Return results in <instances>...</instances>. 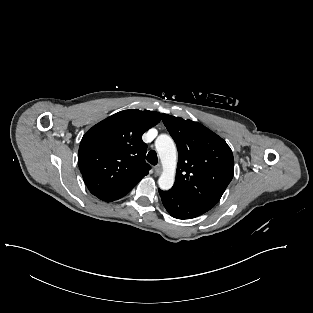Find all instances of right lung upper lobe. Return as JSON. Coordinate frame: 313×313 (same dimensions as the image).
<instances>
[{
  "label": "right lung upper lobe",
  "mask_w": 313,
  "mask_h": 313,
  "mask_svg": "<svg viewBox=\"0 0 313 313\" xmlns=\"http://www.w3.org/2000/svg\"><path fill=\"white\" fill-rule=\"evenodd\" d=\"M160 120L159 112L124 110L85 133L79 146L78 164L93 195L138 183L148 174L147 145L142 135Z\"/></svg>",
  "instance_id": "right-lung-upper-lobe-1"
}]
</instances>
